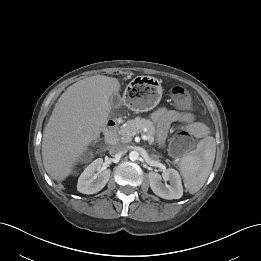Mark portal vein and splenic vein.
<instances>
[{
  "label": "portal vein and splenic vein",
  "instance_id": "obj_1",
  "mask_svg": "<svg viewBox=\"0 0 261 261\" xmlns=\"http://www.w3.org/2000/svg\"><path fill=\"white\" fill-rule=\"evenodd\" d=\"M131 135L134 136L135 133H132ZM142 138H143L144 140H148V139H149V137H148L147 135H143Z\"/></svg>",
  "mask_w": 261,
  "mask_h": 261
}]
</instances>
